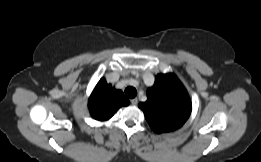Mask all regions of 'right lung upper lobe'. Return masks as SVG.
Masks as SVG:
<instances>
[{
    "label": "right lung upper lobe",
    "mask_w": 261,
    "mask_h": 162,
    "mask_svg": "<svg viewBox=\"0 0 261 162\" xmlns=\"http://www.w3.org/2000/svg\"><path fill=\"white\" fill-rule=\"evenodd\" d=\"M127 105L129 100L123 92L107 84L104 78L97 83L88 103L91 116L99 121L110 119L120 107Z\"/></svg>",
    "instance_id": "1"
}]
</instances>
